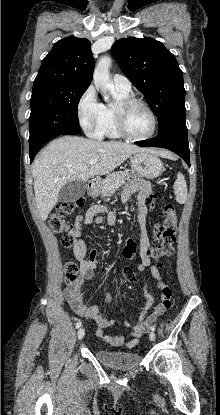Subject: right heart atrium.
<instances>
[{
	"label": "right heart atrium",
	"instance_id": "obj_1",
	"mask_svg": "<svg viewBox=\"0 0 220 415\" xmlns=\"http://www.w3.org/2000/svg\"><path fill=\"white\" fill-rule=\"evenodd\" d=\"M77 114L85 133L90 137L100 139L105 120V105L99 101L93 86H89L80 97Z\"/></svg>",
	"mask_w": 220,
	"mask_h": 415
}]
</instances>
